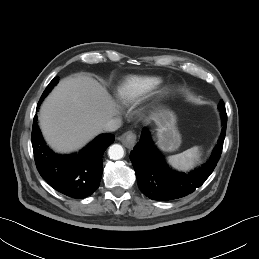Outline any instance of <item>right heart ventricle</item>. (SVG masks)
Segmentation results:
<instances>
[{"label":"right heart ventricle","mask_w":259,"mask_h":259,"mask_svg":"<svg viewBox=\"0 0 259 259\" xmlns=\"http://www.w3.org/2000/svg\"><path fill=\"white\" fill-rule=\"evenodd\" d=\"M162 80L156 77H130L119 91L123 102H130L140 95L156 89Z\"/></svg>","instance_id":"e07e8e85"}]
</instances>
